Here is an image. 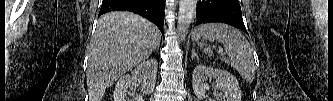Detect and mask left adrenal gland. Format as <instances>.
Returning a JSON list of instances; mask_svg holds the SVG:
<instances>
[{
  "mask_svg": "<svg viewBox=\"0 0 333 101\" xmlns=\"http://www.w3.org/2000/svg\"><path fill=\"white\" fill-rule=\"evenodd\" d=\"M194 58H196L197 60H199V57H198V55L196 54L195 50L192 49V56H191V59L193 60Z\"/></svg>",
  "mask_w": 333,
  "mask_h": 101,
  "instance_id": "1",
  "label": "left adrenal gland"
}]
</instances>
